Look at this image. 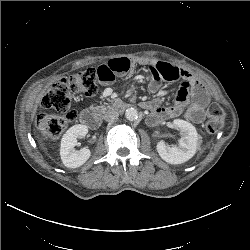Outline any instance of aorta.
<instances>
[{
    "label": "aorta",
    "instance_id": "aorta-1",
    "mask_svg": "<svg viewBox=\"0 0 250 250\" xmlns=\"http://www.w3.org/2000/svg\"><path fill=\"white\" fill-rule=\"evenodd\" d=\"M125 117L129 121H135L138 118V111L135 108H128L125 112Z\"/></svg>",
    "mask_w": 250,
    "mask_h": 250
}]
</instances>
